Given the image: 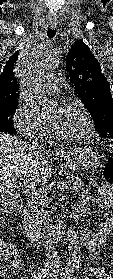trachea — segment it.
Returning a JSON list of instances; mask_svg holds the SVG:
<instances>
[{"instance_id": "trachea-1", "label": "trachea", "mask_w": 113, "mask_h": 279, "mask_svg": "<svg viewBox=\"0 0 113 279\" xmlns=\"http://www.w3.org/2000/svg\"><path fill=\"white\" fill-rule=\"evenodd\" d=\"M55 35H56V29H50V28H48V30H47V36H48L49 38H53Z\"/></svg>"}]
</instances>
